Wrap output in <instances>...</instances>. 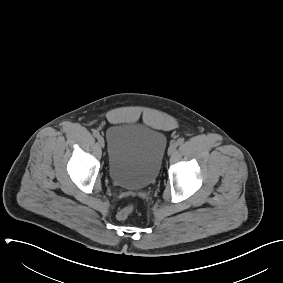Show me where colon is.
Returning a JSON list of instances; mask_svg holds the SVG:
<instances>
[{"label":"colon","mask_w":283,"mask_h":283,"mask_svg":"<svg viewBox=\"0 0 283 283\" xmlns=\"http://www.w3.org/2000/svg\"><path fill=\"white\" fill-rule=\"evenodd\" d=\"M134 210V206L133 205H129L123 209H121L118 213H117V218L119 220H125Z\"/></svg>","instance_id":"1"}]
</instances>
